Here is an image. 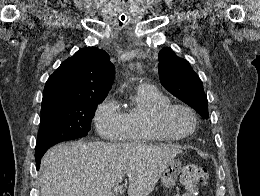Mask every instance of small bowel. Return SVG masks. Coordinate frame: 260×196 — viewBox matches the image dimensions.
Masks as SVG:
<instances>
[{
  "instance_id": "obj_1",
  "label": "small bowel",
  "mask_w": 260,
  "mask_h": 196,
  "mask_svg": "<svg viewBox=\"0 0 260 196\" xmlns=\"http://www.w3.org/2000/svg\"><path fill=\"white\" fill-rule=\"evenodd\" d=\"M188 191L191 193H187V194H185V196L196 195L195 190H188Z\"/></svg>"
}]
</instances>
